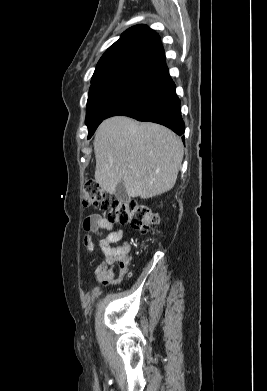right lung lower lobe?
<instances>
[{
	"label": "right lung lower lobe",
	"mask_w": 267,
	"mask_h": 391,
	"mask_svg": "<svg viewBox=\"0 0 267 391\" xmlns=\"http://www.w3.org/2000/svg\"><path fill=\"white\" fill-rule=\"evenodd\" d=\"M175 88L166 68L118 104L107 118L125 115L139 121H150L164 125L181 136L185 131V124Z\"/></svg>",
	"instance_id": "1"
}]
</instances>
